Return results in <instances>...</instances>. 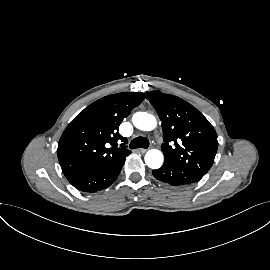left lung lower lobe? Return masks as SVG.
Returning <instances> with one entry per match:
<instances>
[{"label": "left lung lower lobe", "instance_id": "0a47b994", "mask_svg": "<svg viewBox=\"0 0 270 270\" xmlns=\"http://www.w3.org/2000/svg\"><path fill=\"white\" fill-rule=\"evenodd\" d=\"M153 176L172 186L186 187L198 182L203 176L176 164L165 162L161 168L152 171Z\"/></svg>", "mask_w": 270, "mask_h": 270}]
</instances>
